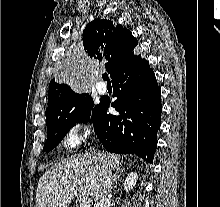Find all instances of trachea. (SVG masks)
Returning <instances> with one entry per match:
<instances>
[{
  "label": "trachea",
  "instance_id": "obj_1",
  "mask_svg": "<svg viewBox=\"0 0 220 207\" xmlns=\"http://www.w3.org/2000/svg\"><path fill=\"white\" fill-rule=\"evenodd\" d=\"M102 77H103V80L110 82V79H109L107 73H104Z\"/></svg>",
  "mask_w": 220,
  "mask_h": 207
}]
</instances>
